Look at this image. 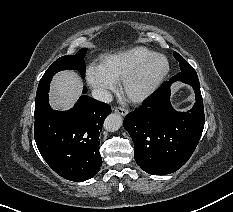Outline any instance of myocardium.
<instances>
[{"label": "myocardium", "instance_id": "myocardium-1", "mask_svg": "<svg viewBox=\"0 0 233 212\" xmlns=\"http://www.w3.org/2000/svg\"><path fill=\"white\" fill-rule=\"evenodd\" d=\"M161 58L165 61V69L163 72L156 78V80L150 84L145 89L133 92L131 90V86L134 81L138 78L141 72L146 68V66L151 63L153 60ZM170 71V64L168 58L160 53H155L142 62H140L136 67H134L122 80V90L124 95L134 103H140L148 99L151 95H153L157 89L161 86L165 78L167 77Z\"/></svg>", "mask_w": 233, "mask_h": 212}]
</instances>
